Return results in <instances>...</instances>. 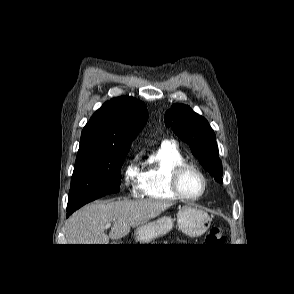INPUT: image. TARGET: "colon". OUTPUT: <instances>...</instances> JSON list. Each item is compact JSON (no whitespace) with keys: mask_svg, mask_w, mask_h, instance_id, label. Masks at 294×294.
I'll use <instances>...</instances> for the list:
<instances>
[{"mask_svg":"<svg viewBox=\"0 0 294 294\" xmlns=\"http://www.w3.org/2000/svg\"><path fill=\"white\" fill-rule=\"evenodd\" d=\"M206 242L208 244L223 245L225 238L222 229L220 227L211 228L206 236Z\"/></svg>","mask_w":294,"mask_h":294,"instance_id":"1","label":"colon"}]
</instances>
